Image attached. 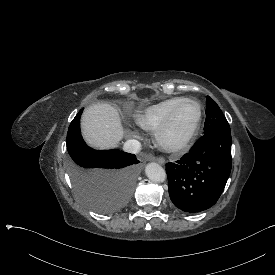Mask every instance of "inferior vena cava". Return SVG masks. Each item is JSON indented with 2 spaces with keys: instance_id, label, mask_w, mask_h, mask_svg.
<instances>
[{
  "instance_id": "1",
  "label": "inferior vena cava",
  "mask_w": 275,
  "mask_h": 275,
  "mask_svg": "<svg viewBox=\"0 0 275 275\" xmlns=\"http://www.w3.org/2000/svg\"><path fill=\"white\" fill-rule=\"evenodd\" d=\"M141 149V144L138 140H128L127 142H125L124 146H123V150L127 153H133L136 154L140 151Z\"/></svg>"
}]
</instances>
